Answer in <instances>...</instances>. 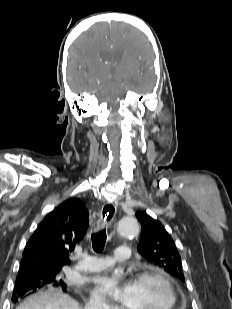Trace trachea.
<instances>
[{
	"label": "trachea",
	"instance_id": "1",
	"mask_svg": "<svg viewBox=\"0 0 232 309\" xmlns=\"http://www.w3.org/2000/svg\"><path fill=\"white\" fill-rule=\"evenodd\" d=\"M91 239H92L93 250L97 253L102 252L106 242L105 229L93 233Z\"/></svg>",
	"mask_w": 232,
	"mask_h": 309
}]
</instances>
